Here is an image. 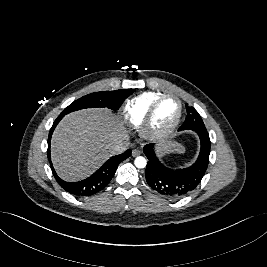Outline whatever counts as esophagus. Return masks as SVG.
Masks as SVG:
<instances>
[{"mask_svg":"<svg viewBox=\"0 0 267 267\" xmlns=\"http://www.w3.org/2000/svg\"><path fill=\"white\" fill-rule=\"evenodd\" d=\"M141 154V151L139 150V149H134L133 151H132V156L133 157H136V156H138V155H140Z\"/></svg>","mask_w":267,"mask_h":267,"instance_id":"1","label":"esophagus"}]
</instances>
